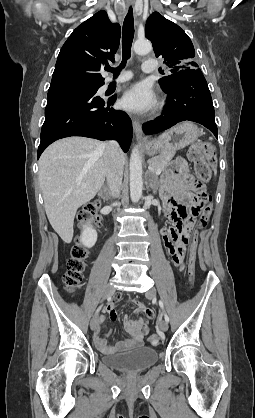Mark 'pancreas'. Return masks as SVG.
<instances>
[{"mask_svg":"<svg viewBox=\"0 0 255 418\" xmlns=\"http://www.w3.org/2000/svg\"><path fill=\"white\" fill-rule=\"evenodd\" d=\"M174 155L175 152L163 153L159 156L149 159L148 163L154 171L157 169L164 170L168 166Z\"/></svg>","mask_w":255,"mask_h":418,"instance_id":"obj_1","label":"pancreas"}]
</instances>
